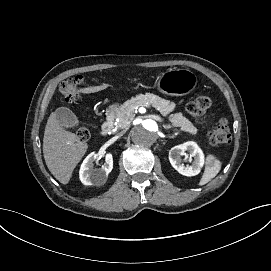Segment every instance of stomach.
Segmentation results:
<instances>
[{
	"label": "stomach",
	"instance_id": "obj_1",
	"mask_svg": "<svg viewBox=\"0 0 271 271\" xmlns=\"http://www.w3.org/2000/svg\"><path fill=\"white\" fill-rule=\"evenodd\" d=\"M198 84L197 75L184 68H171L163 71L156 78V90L166 96L181 97L195 90Z\"/></svg>",
	"mask_w": 271,
	"mask_h": 271
}]
</instances>
